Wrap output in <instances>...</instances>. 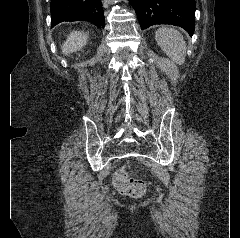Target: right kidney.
Here are the masks:
<instances>
[{"label": "right kidney", "instance_id": "obj_1", "mask_svg": "<svg viewBox=\"0 0 240 238\" xmlns=\"http://www.w3.org/2000/svg\"><path fill=\"white\" fill-rule=\"evenodd\" d=\"M88 34L81 31H72L67 41L62 46V52L68 55L72 52L80 50L87 44Z\"/></svg>", "mask_w": 240, "mask_h": 238}]
</instances>
